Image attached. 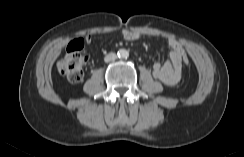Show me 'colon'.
<instances>
[{
  "label": "colon",
  "mask_w": 244,
  "mask_h": 157,
  "mask_svg": "<svg viewBox=\"0 0 244 157\" xmlns=\"http://www.w3.org/2000/svg\"><path fill=\"white\" fill-rule=\"evenodd\" d=\"M83 49V41L76 39L68 45L65 55L57 62L58 72L72 83H78L83 78V64L88 60V55ZM182 61L186 66L190 65L187 54L183 55Z\"/></svg>",
  "instance_id": "obj_1"
}]
</instances>
